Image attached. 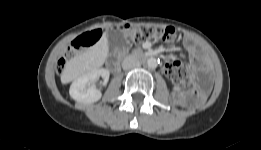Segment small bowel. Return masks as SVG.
Masks as SVG:
<instances>
[{"label": "small bowel", "mask_w": 261, "mask_h": 150, "mask_svg": "<svg viewBox=\"0 0 261 150\" xmlns=\"http://www.w3.org/2000/svg\"><path fill=\"white\" fill-rule=\"evenodd\" d=\"M186 45L189 47V44H188L187 40H186ZM146 46H149V43H147ZM164 71H165V67H164Z\"/></svg>", "instance_id": "small-bowel-1"}]
</instances>
